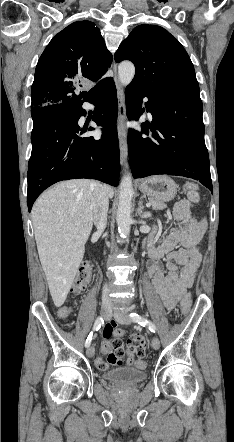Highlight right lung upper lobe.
<instances>
[{"label": "right lung upper lobe", "instance_id": "1", "mask_svg": "<svg viewBox=\"0 0 234 442\" xmlns=\"http://www.w3.org/2000/svg\"><path fill=\"white\" fill-rule=\"evenodd\" d=\"M112 54L94 23L74 22L55 35L38 60L31 88L32 108L68 103L87 97L83 81L97 82L108 70Z\"/></svg>", "mask_w": 234, "mask_h": 442}]
</instances>
